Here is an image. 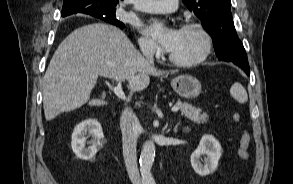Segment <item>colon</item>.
Returning a JSON list of instances; mask_svg holds the SVG:
<instances>
[{
    "label": "colon",
    "instance_id": "1",
    "mask_svg": "<svg viewBox=\"0 0 293 184\" xmlns=\"http://www.w3.org/2000/svg\"><path fill=\"white\" fill-rule=\"evenodd\" d=\"M234 122L238 123L241 121V115L238 113H234L232 116ZM249 144H250V135L247 131H243L241 133L238 155L243 160H248L250 157L249 153Z\"/></svg>",
    "mask_w": 293,
    "mask_h": 184
}]
</instances>
